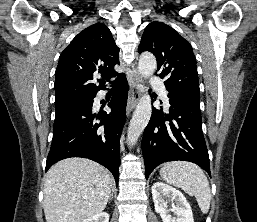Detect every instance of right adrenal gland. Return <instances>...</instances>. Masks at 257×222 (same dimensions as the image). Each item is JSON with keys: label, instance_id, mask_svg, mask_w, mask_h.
Returning <instances> with one entry per match:
<instances>
[{"label": "right adrenal gland", "instance_id": "obj_1", "mask_svg": "<svg viewBox=\"0 0 257 222\" xmlns=\"http://www.w3.org/2000/svg\"><path fill=\"white\" fill-rule=\"evenodd\" d=\"M113 198V194L111 195V199Z\"/></svg>", "mask_w": 257, "mask_h": 222}]
</instances>
